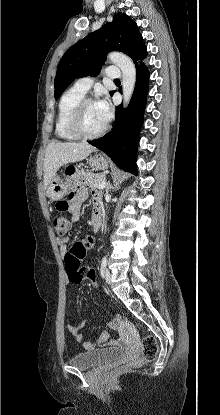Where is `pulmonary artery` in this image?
Instances as JSON below:
<instances>
[{"mask_svg": "<svg viewBox=\"0 0 220 415\" xmlns=\"http://www.w3.org/2000/svg\"><path fill=\"white\" fill-rule=\"evenodd\" d=\"M107 76L109 78H119L121 76L120 69L115 66H110L107 69ZM94 83V79L91 77H83L78 79L74 85L73 88L78 90L79 92L86 94L88 90L91 88V86Z\"/></svg>", "mask_w": 220, "mask_h": 415, "instance_id": "pulmonary-artery-1", "label": "pulmonary artery"}]
</instances>
